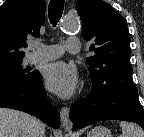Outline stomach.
<instances>
[{"label":"stomach","instance_id":"0dacf381","mask_svg":"<svg viewBox=\"0 0 144 137\" xmlns=\"http://www.w3.org/2000/svg\"><path fill=\"white\" fill-rule=\"evenodd\" d=\"M87 137H112V135L108 128L97 126L87 134Z\"/></svg>","mask_w":144,"mask_h":137}]
</instances>
